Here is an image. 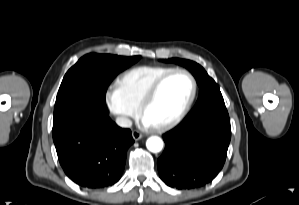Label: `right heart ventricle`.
<instances>
[{
    "instance_id": "obj_1",
    "label": "right heart ventricle",
    "mask_w": 299,
    "mask_h": 205,
    "mask_svg": "<svg viewBox=\"0 0 299 205\" xmlns=\"http://www.w3.org/2000/svg\"><path fill=\"white\" fill-rule=\"evenodd\" d=\"M174 68L165 66H138L123 73L116 81L124 100L138 109L151 86L164 74Z\"/></svg>"
}]
</instances>
